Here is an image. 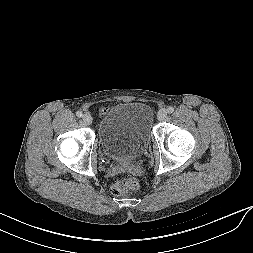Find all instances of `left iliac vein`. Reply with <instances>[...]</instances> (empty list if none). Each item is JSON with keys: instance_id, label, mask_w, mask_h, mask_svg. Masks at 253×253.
Returning <instances> with one entry per match:
<instances>
[{"instance_id": "obj_1", "label": "left iliac vein", "mask_w": 253, "mask_h": 253, "mask_svg": "<svg viewBox=\"0 0 253 253\" xmlns=\"http://www.w3.org/2000/svg\"><path fill=\"white\" fill-rule=\"evenodd\" d=\"M167 117V110L166 109H160L157 113V118L159 121L165 120Z\"/></svg>"}]
</instances>
